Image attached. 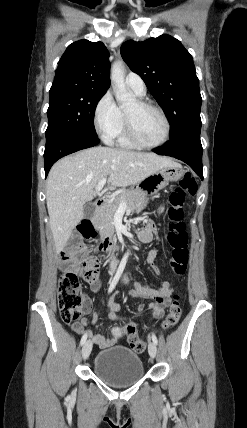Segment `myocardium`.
I'll use <instances>...</instances> for the list:
<instances>
[{
  "instance_id": "myocardium-1",
  "label": "myocardium",
  "mask_w": 247,
  "mask_h": 428,
  "mask_svg": "<svg viewBox=\"0 0 247 428\" xmlns=\"http://www.w3.org/2000/svg\"><path fill=\"white\" fill-rule=\"evenodd\" d=\"M135 102L137 103V105L139 107H146V108H151V109L155 110L160 115V117L162 118V120L164 122L165 132H164L163 138L157 143L143 142L136 135L128 114L126 112H124V121H125L126 133H127L128 138L130 139V141L134 145H136L137 147L147 148V149L159 148V147L165 145L170 138L171 124H170L169 118L166 115V113L164 112V110L160 106H158V105H156L150 101L144 100V99H137Z\"/></svg>"
}]
</instances>
